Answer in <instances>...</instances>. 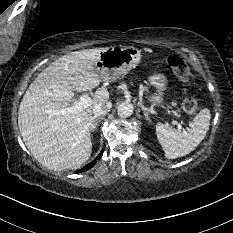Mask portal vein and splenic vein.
<instances>
[{
    "label": "portal vein and splenic vein",
    "mask_w": 233,
    "mask_h": 233,
    "mask_svg": "<svg viewBox=\"0 0 233 233\" xmlns=\"http://www.w3.org/2000/svg\"><path fill=\"white\" fill-rule=\"evenodd\" d=\"M90 103H91V98L89 96L81 95L79 97V101L77 103H75L73 106H70V107H67V108L61 110L58 113H62V114H64V113H74V112H76V111H78V110H80V109H82L84 107L89 106ZM172 124L176 125L179 130L182 129V125L179 122H177L176 120L172 121Z\"/></svg>",
    "instance_id": "portal-vein-and-splenic-vein-1"
}]
</instances>
